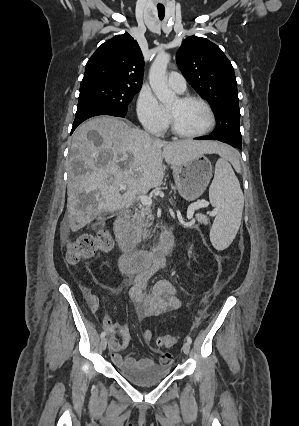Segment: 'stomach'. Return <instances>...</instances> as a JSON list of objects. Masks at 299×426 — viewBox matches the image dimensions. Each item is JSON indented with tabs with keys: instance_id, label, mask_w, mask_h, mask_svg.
Masks as SVG:
<instances>
[{
	"instance_id": "obj_1",
	"label": "stomach",
	"mask_w": 299,
	"mask_h": 426,
	"mask_svg": "<svg viewBox=\"0 0 299 426\" xmlns=\"http://www.w3.org/2000/svg\"><path fill=\"white\" fill-rule=\"evenodd\" d=\"M173 176L180 195L192 201L206 190L212 178V165L206 156L200 155L173 167Z\"/></svg>"
}]
</instances>
